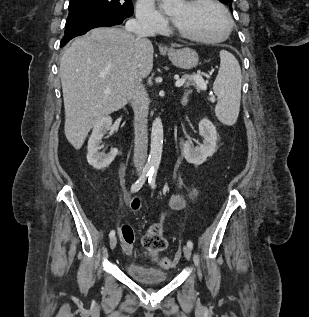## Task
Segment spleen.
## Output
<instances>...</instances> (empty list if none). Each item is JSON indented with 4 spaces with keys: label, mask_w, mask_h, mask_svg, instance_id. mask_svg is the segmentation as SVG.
<instances>
[{
    "label": "spleen",
    "mask_w": 309,
    "mask_h": 317,
    "mask_svg": "<svg viewBox=\"0 0 309 317\" xmlns=\"http://www.w3.org/2000/svg\"><path fill=\"white\" fill-rule=\"evenodd\" d=\"M241 68L233 54L220 51V68L213 84L218 102L215 114L219 121L233 125L239 114L241 100Z\"/></svg>",
    "instance_id": "spleen-1"
}]
</instances>
